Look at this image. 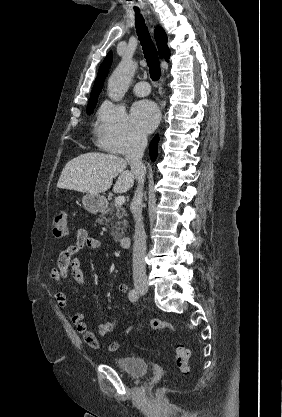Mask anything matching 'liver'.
I'll return each mask as SVG.
<instances>
[{"label":"liver","instance_id":"1","mask_svg":"<svg viewBox=\"0 0 282 417\" xmlns=\"http://www.w3.org/2000/svg\"><path fill=\"white\" fill-rule=\"evenodd\" d=\"M127 160L116 154L85 152L65 164L57 182L58 188H70L79 192H105L118 176L114 192H126L134 184L135 174L126 170Z\"/></svg>","mask_w":282,"mask_h":417}]
</instances>
